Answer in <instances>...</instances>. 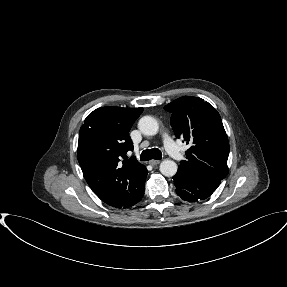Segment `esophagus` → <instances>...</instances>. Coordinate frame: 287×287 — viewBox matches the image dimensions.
Returning a JSON list of instances; mask_svg holds the SVG:
<instances>
[{
  "label": "esophagus",
  "instance_id": "34e87169",
  "mask_svg": "<svg viewBox=\"0 0 287 287\" xmlns=\"http://www.w3.org/2000/svg\"><path fill=\"white\" fill-rule=\"evenodd\" d=\"M159 163H160V160H150L149 161V164L152 165V166H155V165H157Z\"/></svg>",
  "mask_w": 287,
  "mask_h": 287
}]
</instances>
